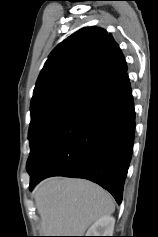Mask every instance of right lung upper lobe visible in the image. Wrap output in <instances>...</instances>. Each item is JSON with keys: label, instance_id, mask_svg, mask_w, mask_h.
Listing matches in <instances>:
<instances>
[{"label": "right lung upper lobe", "instance_id": "right-lung-upper-lobe-1", "mask_svg": "<svg viewBox=\"0 0 158 237\" xmlns=\"http://www.w3.org/2000/svg\"><path fill=\"white\" fill-rule=\"evenodd\" d=\"M127 72L118 44L99 27H84L50 54L35 86L31 106L68 96L85 102Z\"/></svg>", "mask_w": 158, "mask_h": 237}]
</instances>
